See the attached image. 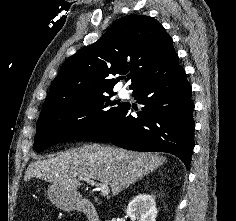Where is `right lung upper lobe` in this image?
<instances>
[{
    "instance_id": "obj_1",
    "label": "right lung upper lobe",
    "mask_w": 236,
    "mask_h": 221,
    "mask_svg": "<svg viewBox=\"0 0 236 221\" xmlns=\"http://www.w3.org/2000/svg\"><path fill=\"white\" fill-rule=\"evenodd\" d=\"M175 55L171 37L157 20L137 14L125 16L100 40L63 63L42 110L113 91L120 77L111 75L129 73L131 88L169 64Z\"/></svg>"
}]
</instances>
